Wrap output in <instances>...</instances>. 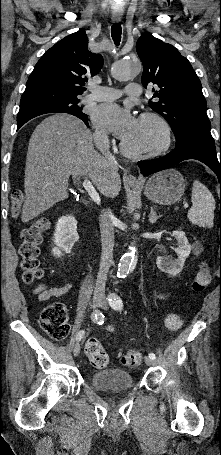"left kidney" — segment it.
<instances>
[{
	"label": "left kidney",
	"instance_id": "5707ae66",
	"mask_svg": "<svg viewBox=\"0 0 221 455\" xmlns=\"http://www.w3.org/2000/svg\"><path fill=\"white\" fill-rule=\"evenodd\" d=\"M172 236L177 240L178 243V247L175 249L178 259L172 260L165 256H158L156 259V264L161 271L171 276H175L182 270L185 260L191 252V245L185 236V232L182 230L173 231Z\"/></svg>",
	"mask_w": 221,
	"mask_h": 455
}]
</instances>
